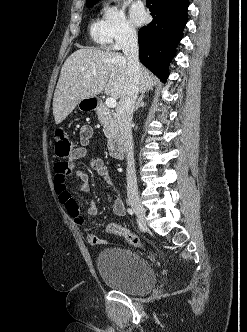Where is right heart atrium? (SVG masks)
Here are the masks:
<instances>
[{
    "mask_svg": "<svg viewBox=\"0 0 247 332\" xmlns=\"http://www.w3.org/2000/svg\"><path fill=\"white\" fill-rule=\"evenodd\" d=\"M104 19L113 48L120 49L136 39V29L127 19L122 8L106 6L104 9Z\"/></svg>",
    "mask_w": 247,
    "mask_h": 332,
    "instance_id": "d8ad5b80",
    "label": "right heart atrium"
}]
</instances>
